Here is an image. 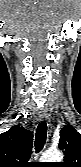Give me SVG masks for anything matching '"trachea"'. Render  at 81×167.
Segmentation results:
<instances>
[{"label": "trachea", "mask_w": 81, "mask_h": 167, "mask_svg": "<svg viewBox=\"0 0 81 167\" xmlns=\"http://www.w3.org/2000/svg\"><path fill=\"white\" fill-rule=\"evenodd\" d=\"M47 138V124L46 121H43L39 123L36 129V134H35V150L36 153H39L46 142Z\"/></svg>", "instance_id": "obj_1"}]
</instances>
